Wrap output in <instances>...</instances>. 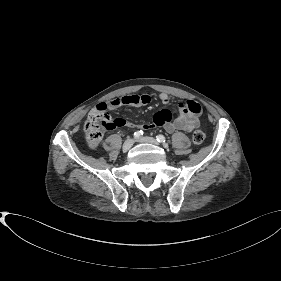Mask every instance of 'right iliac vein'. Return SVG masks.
I'll return each instance as SVG.
<instances>
[{"instance_id":"obj_1","label":"right iliac vein","mask_w":281,"mask_h":281,"mask_svg":"<svg viewBox=\"0 0 281 281\" xmlns=\"http://www.w3.org/2000/svg\"><path fill=\"white\" fill-rule=\"evenodd\" d=\"M134 144V140L129 138L123 144V151H128Z\"/></svg>"}]
</instances>
